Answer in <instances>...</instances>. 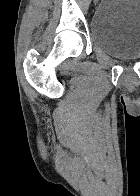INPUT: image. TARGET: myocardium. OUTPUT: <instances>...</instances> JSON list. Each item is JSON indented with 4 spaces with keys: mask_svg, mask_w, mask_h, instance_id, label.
Listing matches in <instances>:
<instances>
[{
    "mask_svg": "<svg viewBox=\"0 0 140 196\" xmlns=\"http://www.w3.org/2000/svg\"><path fill=\"white\" fill-rule=\"evenodd\" d=\"M86 192H107V191H86ZM114 192H124V191H114Z\"/></svg>",
    "mask_w": 140,
    "mask_h": 196,
    "instance_id": "1",
    "label": "myocardium"
}]
</instances>
